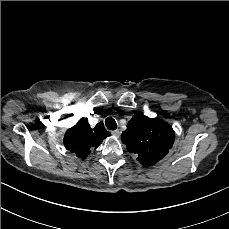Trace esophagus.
<instances>
[{
  "label": "esophagus",
  "mask_w": 229,
  "mask_h": 229,
  "mask_svg": "<svg viewBox=\"0 0 229 229\" xmlns=\"http://www.w3.org/2000/svg\"><path fill=\"white\" fill-rule=\"evenodd\" d=\"M111 133H112V135H114L115 137H119V136H120L119 130L111 131Z\"/></svg>",
  "instance_id": "esophagus-1"
}]
</instances>
